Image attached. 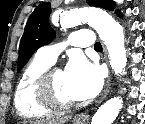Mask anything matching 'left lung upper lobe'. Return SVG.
<instances>
[{
	"label": "left lung upper lobe",
	"mask_w": 145,
	"mask_h": 124,
	"mask_svg": "<svg viewBox=\"0 0 145 124\" xmlns=\"http://www.w3.org/2000/svg\"><path fill=\"white\" fill-rule=\"evenodd\" d=\"M90 6L113 10L112 0H87ZM51 6L49 2L39 4L28 19L19 47L18 71L27 63L33 53L55 37V31L49 24ZM116 14H119L116 11Z\"/></svg>",
	"instance_id": "left-lung-upper-lobe-1"
}]
</instances>
